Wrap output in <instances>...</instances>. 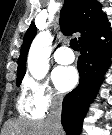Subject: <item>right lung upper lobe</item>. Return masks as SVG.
<instances>
[{"label":"right lung upper lobe","instance_id":"right-lung-upper-lobe-1","mask_svg":"<svg viewBox=\"0 0 112 135\" xmlns=\"http://www.w3.org/2000/svg\"><path fill=\"white\" fill-rule=\"evenodd\" d=\"M101 8L102 5L97 0H65L60 15L62 32L65 35H70L75 32L81 33L79 37V44H81L109 30L110 24ZM35 35L36 26L32 23L25 33L21 46L17 79H23L25 75L26 58Z\"/></svg>","mask_w":112,"mask_h":135}]
</instances>
